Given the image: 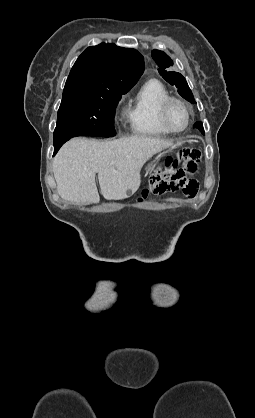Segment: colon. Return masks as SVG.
Instances as JSON below:
<instances>
[{
  "instance_id": "obj_1",
  "label": "colon",
  "mask_w": 255,
  "mask_h": 418,
  "mask_svg": "<svg viewBox=\"0 0 255 418\" xmlns=\"http://www.w3.org/2000/svg\"><path fill=\"white\" fill-rule=\"evenodd\" d=\"M200 157V151L195 148H183L176 155L168 156L163 168L152 174L137 201L143 202L151 194H164L175 190H182L189 198L194 197L198 191V183L193 176L198 171Z\"/></svg>"
}]
</instances>
